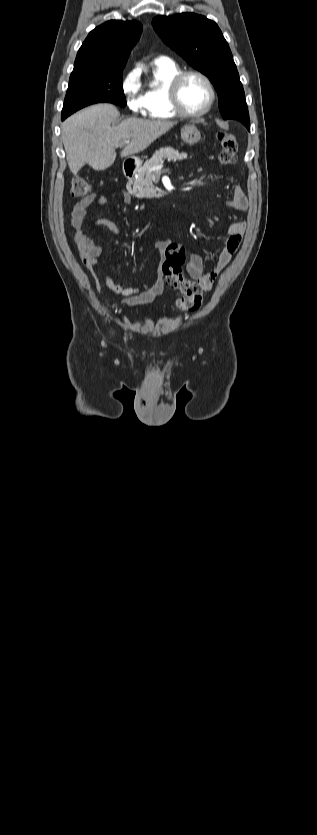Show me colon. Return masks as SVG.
Masks as SVG:
<instances>
[{
    "mask_svg": "<svg viewBox=\"0 0 317 835\" xmlns=\"http://www.w3.org/2000/svg\"><path fill=\"white\" fill-rule=\"evenodd\" d=\"M218 139L221 144L220 161L225 165H231L236 161L237 141L230 132H219ZM91 191L90 183L82 177L73 180L71 195L73 197L86 196ZM163 274L165 286L174 291H179L181 297L176 301V307L181 311H194L202 302L203 288L195 280L187 279L182 271L180 260L166 259L159 267Z\"/></svg>",
    "mask_w": 317,
    "mask_h": 835,
    "instance_id": "1",
    "label": "colon"
}]
</instances>
